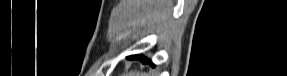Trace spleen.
Instances as JSON below:
<instances>
[{
	"instance_id": "3e777b00",
	"label": "spleen",
	"mask_w": 287,
	"mask_h": 76,
	"mask_svg": "<svg viewBox=\"0 0 287 76\" xmlns=\"http://www.w3.org/2000/svg\"><path fill=\"white\" fill-rule=\"evenodd\" d=\"M127 76H147L146 73H140L139 71H130Z\"/></svg>"
}]
</instances>
